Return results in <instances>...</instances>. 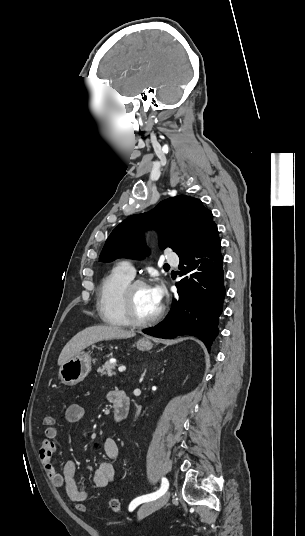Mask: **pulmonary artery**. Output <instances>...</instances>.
<instances>
[{"instance_id":"1","label":"pulmonary artery","mask_w":305,"mask_h":536,"mask_svg":"<svg viewBox=\"0 0 305 536\" xmlns=\"http://www.w3.org/2000/svg\"><path fill=\"white\" fill-rule=\"evenodd\" d=\"M168 260L170 263L175 264L178 262L179 257L177 254L172 253L169 255ZM124 274L133 278L135 276V269L130 263H121L118 267Z\"/></svg>"}]
</instances>
